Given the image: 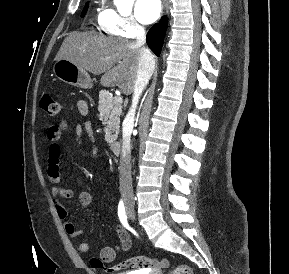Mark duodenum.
Returning <instances> with one entry per match:
<instances>
[{
  "label": "duodenum",
  "instance_id": "obj_1",
  "mask_svg": "<svg viewBox=\"0 0 289 274\" xmlns=\"http://www.w3.org/2000/svg\"><path fill=\"white\" fill-rule=\"evenodd\" d=\"M110 148L114 154H120L121 152V143L119 141H113L110 144Z\"/></svg>",
  "mask_w": 289,
  "mask_h": 274
}]
</instances>
